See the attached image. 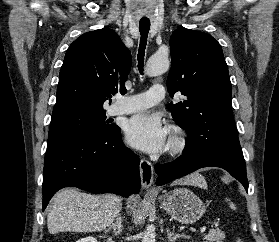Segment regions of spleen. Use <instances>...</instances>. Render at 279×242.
Masks as SVG:
<instances>
[{
	"label": "spleen",
	"mask_w": 279,
	"mask_h": 242,
	"mask_svg": "<svg viewBox=\"0 0 279 242\" xmlns=\"http://www.w3.org/2000/svg\"><path fill=\"white\" fill-rule=\"evenodd\" d=\"M230 207H231L232 209H235V208H236L235 205H234L233 203H230Z\"/></svg>",
	"instance_id": "obj_1"
}]
</instances>
